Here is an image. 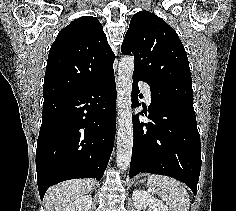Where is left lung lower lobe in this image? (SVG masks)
<instances>
[{"label":"left lung lower lobe","instance_id":"obj_1","mask_svg":"<svg viewBox=\"0 0 236 211\" xmlns=\"http://www.w3.org/2000/svg\"><path fill=\"white\" fill-rule=\"evenodd\" d=\"M133 75L132 107H139L137 82ZM145 81V80H144ZM151 104L140 112L151 120L133 119V153L129 176L148 172L173 177L187 184L196 195L201 170L200 136L194 108L171 102L151 87Z\"/></svg>","mask_w":236,"mask_h":211}]
</instances>
